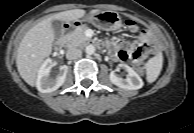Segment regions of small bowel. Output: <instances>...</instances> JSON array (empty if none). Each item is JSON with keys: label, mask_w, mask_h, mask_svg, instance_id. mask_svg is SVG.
Listing matches in <instances>:
<instances>
[{"label": "small bowel", "mask_w": 194, "mask_h": 133, "mask_svg": "<svg viewBox=\"0 0 194 133\" xmlns=\"http://www.w3.org/2000/svg\"><path fill=\"white\" fill-rule=\"evenodd\" d=\"M108 48L119 61L138 62L155 52V38L149 30H143L136 42L115 41L108 43Z\"/></svg>", "instance_id": "obj_1"}]
</instances>
